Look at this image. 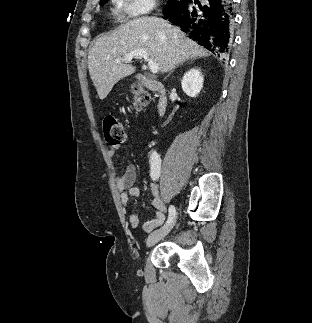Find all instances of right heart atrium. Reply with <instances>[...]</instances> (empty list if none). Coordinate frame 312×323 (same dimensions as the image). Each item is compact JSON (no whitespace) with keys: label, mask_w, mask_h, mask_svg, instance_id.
I'll use <instances>...</instances> for the list:
<instances>
[{"label":"right heart atrium","mask_w":312,"mask_h":323,"mask_svg":"<svg viewBox=\"0 0 312 323\" xmlns=\"http://www.w3.org/2000/svg\"><path fill=\"white\" fill-rule=\"evenodd\" d=\"M123 13H130L131 17H140L141 13H155L162 5V0H118Z\"/></svg>","instance_id":"right-heart-atrium-1"}]
</instances>
